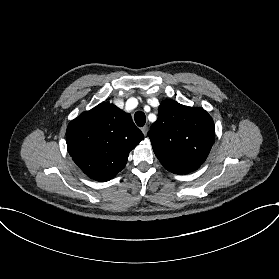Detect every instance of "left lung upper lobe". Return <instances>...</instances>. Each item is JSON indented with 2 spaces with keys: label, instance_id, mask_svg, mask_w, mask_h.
<instances>
[{
  "label": "left lung upper lobe",
  "instance_id": "5c2ea615",
  "mask_svg": "<svg viewBox=\"0 0 279 279\" xmlns=\"http://www.w3.org/2000/svg\"><path fill=\"white\" fill-rule=\"evenodd\" d=\"M148 137L164 168L187 174L206 160L215 140L214 122L204 109L168 99L160 104Z\"/></svg>",
  "mask_w": 279,
  "mask_h": 279
}]
</instances>
